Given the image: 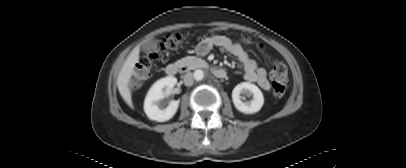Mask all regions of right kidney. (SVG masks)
<instances>
[{"mask_svg": "<svg viewBox=\"0 0 406 168\" xmlns=\"http://www.w3.org/2000/svg\"><path fill=\"white\" fill-rule=\"evenodd\" d=\"M176 83L177 79L175 77H165L155 82L150 88L144 102V111L150 120L165 122L175 115L179 107V101H171L164 109H160L159 101L164 98L165 92L163 89L166 88V91H170Z\"/></svg>", "mask_w": 406, "mask_h": 168, "instance_id": "obj_1", "label": "right kidney"}]
</instances>
